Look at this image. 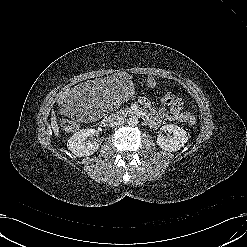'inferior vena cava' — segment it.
I'll list each match as a JSON object with an SVG mask.
<instances>
[{"label":"inferior vena cava","instance_id":"1","mask_svg":"<svg viewBox=\"0 0 247 247\" xmlns=\"http://www.w3.org/2000/svg\"><path fill=\"white\" fill-rule=\"evenodd\" d=\"M124 124V119L117 114H111L109 117L110 127H115Z\"/></svg>","mask_w":247,"mask_h":247}]
</instances>
